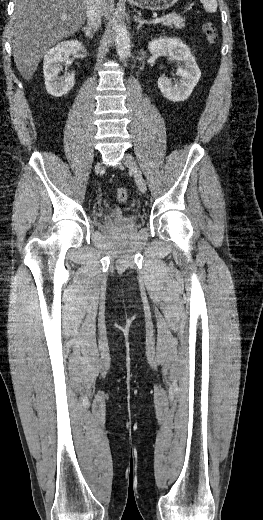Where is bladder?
<instances>
[{
    "mask_svg": "<svg viewBox=\"0 0 263 520\" xmlns=\"http://www.w3.org/2000/svg\"><path fill=\"white\" fill-rule=\"evenodd\" d=\"M139 217L136 214H131L119 217L109 221V224L116 229H129L135 227L138 223Z\"/></svg>",
    "mask_w": 263,
    "mask_h": 520,
    "instance_id": "31cf9c89",
    "label": "bladder"
}]
</instances>
